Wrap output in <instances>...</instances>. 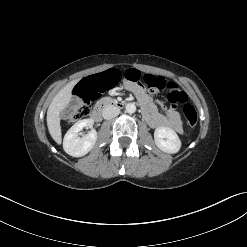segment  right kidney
<instances>
[{"label":"right kidney","instance_id":"1","mask_svg":"<svg viewBox=\"0 0 247 247\" xmlns=\"http://www.w3.org/2000/svg\"><path fill=\"white\" fill-rule=\"evenodd\" d=\"M93 119H83L76 122L65 134L63 139L64 151L73 157H82L86 155L94 146L97 140V132L92 129ZM91 128L84 136L78 137V133L83 128Z\"/></svg>","mask_w":247,"mask_h":247}]
</instances>
